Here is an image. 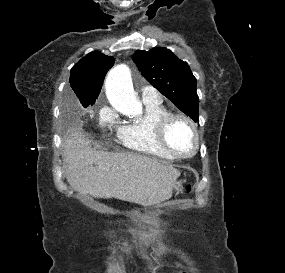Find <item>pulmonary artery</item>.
<instances>
[{"label": "pulmonary artery", "mask_w": 285, "mask_h": 273, "mask_svg": "<svg viewBox=\"0 0 285 273\" xmlns=\"http://www.w3.org/2000/svg\"><path fill=\"white\" fill-rule=\"evenodd\" d=\"M142 99L143 102H156L161 101V96L154 87L146 85L142 88Z\"/></svg>", "instance_id": "pulmonary-artery-1"}]
</instances>
